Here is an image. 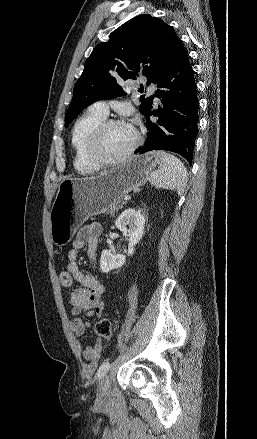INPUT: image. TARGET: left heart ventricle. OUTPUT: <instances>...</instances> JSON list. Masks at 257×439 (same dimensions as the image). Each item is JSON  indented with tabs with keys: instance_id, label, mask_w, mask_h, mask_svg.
<instances>
[{
	"instance_id": "obj_1",
	"label": "left heart ventricle",
	"mask_w": 257,
	"mask_h": 439,
	"mask_svg": "<svg viewBox=\"0 0 257 439\" xmlns=\"http://www.w3.org/2000/svg\"><path fill=\"white\" fill-rule=\"evenodd\" d=\"M136 132L128 124L114 125L104 134L101 152L106 158H113L126 150L135 140Z\"/></svg>"
}]
</instances>
